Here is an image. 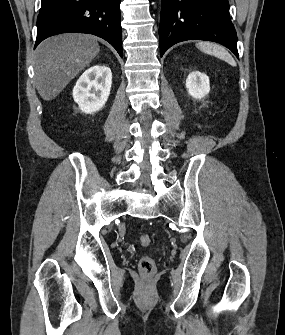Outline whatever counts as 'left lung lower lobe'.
I'll list each match as a JSON object with an SVG mask.
<instances>
[{
	"mask_svg": "<svg viewBox=\"0 0 285 335\" xmlns=\"http://www.w3.org/2000/svg\"><path fill=\"white\" fill-rule=\"evenodd\" d=\"M159 37L161 57L172 45L192 39L220 43L238 57L228 0H162Z\"/></svg>",
	"mask_w": 285,
	"mask_h": 335,
	"instance_id": "obj_1",
	"label": "left lung lower lobe"
}]
</instances>
